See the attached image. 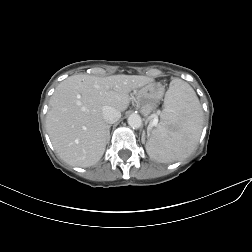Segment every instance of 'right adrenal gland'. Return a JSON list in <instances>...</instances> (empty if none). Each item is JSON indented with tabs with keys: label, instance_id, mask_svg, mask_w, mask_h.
Returning <instances> with one entry per match:
<instances>
[{
	"label": "right adrenal gland",
	"instance_id": "obj_1",
	"mask_svg": "<svg viewBox=\"0 0 252 252\" xmlns=\"http://www.w3.org/2000/svg\"><path fill=\"white\" fill-rule=\"evenodd\" d=\"M112 125H108V129H107V141L109 140L110 138V128H111Z\"/></svg>",
	"mask_w": 252,
	"mask_h": 252
}]
</instances>
